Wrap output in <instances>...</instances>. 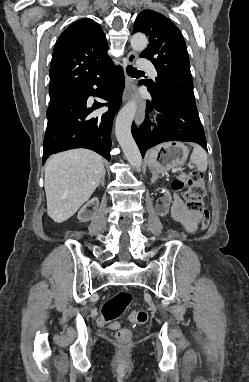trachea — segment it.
Here are the masks:
<instances>
[{"label": "trachea", "mask_w": 249, "mask_h": 382, "mask_svg": "<svg viewBox=\"0 0 249 382\" xmlns=\"http://www.w3.org/2000/svg\"><path fill=\"white\" fill-rule=\"evenodd\" d=\"M126 71H127L128 75H130V76H134L136 74H143L142 71L137 70L136 68H134L131 65L127 66Z\"/></svg>", "instance_id": "1"}]
</instances>
